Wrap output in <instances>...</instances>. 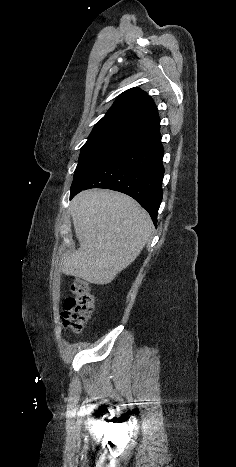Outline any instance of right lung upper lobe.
<instances>
[{"mask_svg": "<svg viewBox=\"0 0 236 467\" xmlns=\"http://www.w3.org/2000/svg\"><path fill=\"white\" fill-rule=\"evenodd\" d=\"M159 125V115L152 98L139 88H131L119 95L94 128L120 127L141 134Z\"/></svg>", "mask_w": 236, "mask_h": 467, "instance_id": "right-lung-upper-lobe-1", "label": "right lung upper lobe"}]
</instances>
